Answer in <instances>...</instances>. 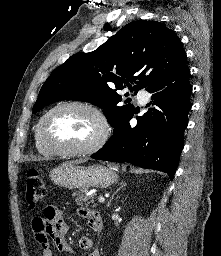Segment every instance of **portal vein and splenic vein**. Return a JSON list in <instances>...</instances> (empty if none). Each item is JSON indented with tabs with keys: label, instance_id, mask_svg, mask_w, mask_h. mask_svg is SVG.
<instances>
[{
	"label": "portal vein and splenic vein",
	"instance_id": "portal-vein-and-splenic-vein-1",
	"mask_svg": "<svg viewBox=\"0 0 221 256\" xmlns=\"http://www.w3.org/2000/svg\"><path fill=\"white\" fill-rule=\"evenodd\" d=\"M98 202H99V203H104V202H105V198L102 197V196H100V197L98 198Z\"/></svg>",
	"mask_w": 221,
	"mask_h": 256
}]
</instances>
